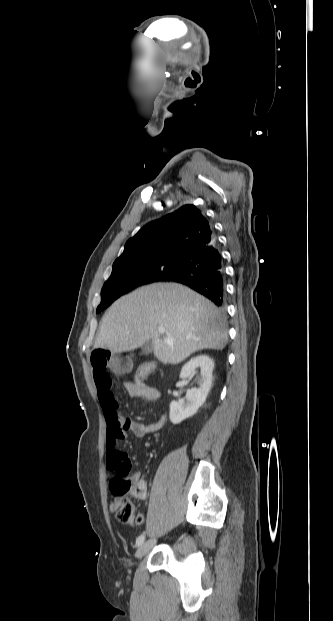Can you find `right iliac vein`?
<instances>
[{
  "label": "right iliac vein",
  "instance_id": "1",
  "mask_svg": "<svg viewBox=\"0 0 333 621\" xmlns=\"http://www.w3.org/2000/svg\"><path fill=\"white\" fill-rule=\"evenodd\" d=\"M155 543H156L155 539H150V540H147L146 542H143L136 551V557L139 559L144 557L151 550V548L154 546Z\"/></svg>",
  "mask_w": 333,
  "mask_h": 621
}]
</instances>
